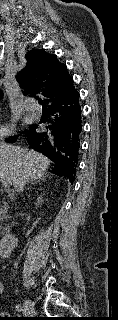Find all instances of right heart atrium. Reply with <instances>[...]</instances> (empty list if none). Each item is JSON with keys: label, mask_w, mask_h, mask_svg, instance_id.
Wrapping results in <instances>:
<instances>
[{"label": "right heart atrium", "mask_w": 118, "mask_h": 320, "mask_svg": "<svg viewBox=\"0 0 118 320\" xmlns=\"http://www.w3.org/2000/svg\"><path fill=\"white\" fill-rule=\"evenodd\" d=\"M14 132V125L12 123H0V141H3Z\"/></svg>", "instance_id": "obj_1"}]
</instances>
